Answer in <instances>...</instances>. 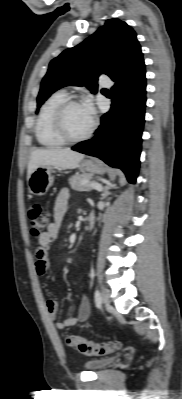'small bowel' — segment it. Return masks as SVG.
I'll list each match as a JSON object with an SVG mask.
<instances>
[{
    "mask_svg": "<svg viewBox=\"0 0 182 399\" xmlns=\"http://www.w3.org/2000/svg\"><path fill=\"white\" fill-rule=\"evenodd\" d=\"M70 196L69 189H63L58 193L53 207V221L50 223L48 229L38 238V247L35 252V270L40 277L47 275L51 268L49 251L58 237ZM46 307L53 320L54 327L57 329H66L79 322H83L87 320L90 315V304L86 297H83L79 305L78 314L75 317L67 318L63 321L57 320L58 301L55 298L47 300Z\"/></svg>",
    "mask_w": 182,
    "mask_h": 399,
    "instance_id": "c3829d8e",
    "label": "small bowel"
}]
</instances>
